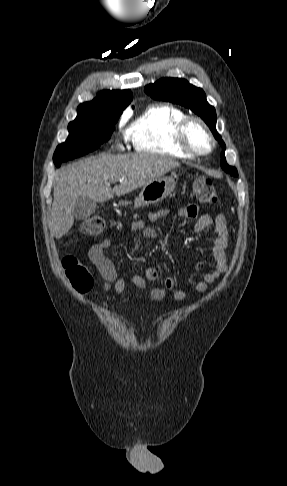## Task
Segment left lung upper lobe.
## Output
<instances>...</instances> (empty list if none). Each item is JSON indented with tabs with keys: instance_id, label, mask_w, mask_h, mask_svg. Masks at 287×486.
I'll return each mask as SVG.
<instances>
[{
	"instance_id": "left-lung-upper-lobe-1",
	"label": "left lung upper lobe",
	"mask_w": 287,
	"mask_h": 486,
	"mask_svg": "<svg viewBox=\"0 0 287 486\" xmlns=\"http://www.w3.org/2000/svg\"><path fill=\"white\" fill-rule=\"evenodd\" d=\"M144 91L155 100L169 101L190 108L209 126L214 137L225 149V143L216 131V112L206 100L204 91L191 85L185 79L162 78L154 84L146 85ZM222 169L232 176H238L237 170L227 164L224 152L221 155Z\"/></svg>"
}]
</instances>
